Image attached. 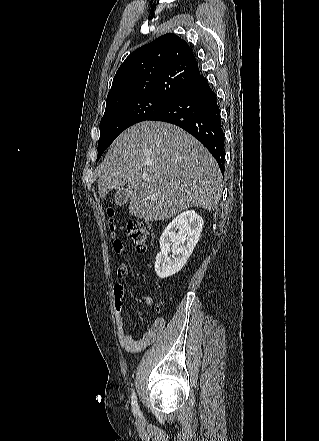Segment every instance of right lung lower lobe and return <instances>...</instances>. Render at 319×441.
Listing matches in <instances>:
<instances>
[{"mask_svg":"<svg viewBox=\"0 0 319 441\" xmlns=\"http://www.w3.org/2000/svg\"><path fill=\"white\" fill-rule=\"evenodd\" d=\"M148 120L175 124L198 139L224 172V132L216 94L203 75L184 86L175 97Z\"/></svg>","mask_w":319,"mask_h":441,"instance_id":"obj_1","label":"right lung lower lobe"}]
</instances>
